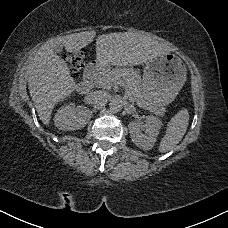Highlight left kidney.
Segmentation results:
<instances>
[{"label":"left kidney","mask_w":228,"mask_h":228,"mask_svg":"<svg viewBox=\"0 0 228 228\" xmlns=\"http://www.w3.org/2000/svg\"><path fill=\"white\" fill-rule=\"evenodd\" d=\"M161 125L162 123L154 117L147 118L145 123L142 120L129 122L128 128L132 142L141 150L152 149Z\"/></svg>","instance_id":"5707ae66"}]
</instances>
